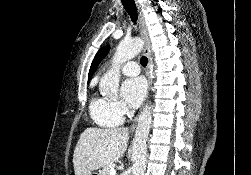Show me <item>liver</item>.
<instances>
[{
    "mask_svg": "<svg viewBox=\"0 0 251 175\" xmlns=\"http://www.w3.org/2000/svg\"><path fill=\"white\" fill-rule=\"evenodd\" d=\"M129 127H87L81 133L73 153L75 175H90L94 169L118 161L127 149Z\"/></svg>",
    "mask_w": 251,
    "mask_h": 175,
    "instance_id": "liver-1",
    "label": "liver"
}]
</instances>
